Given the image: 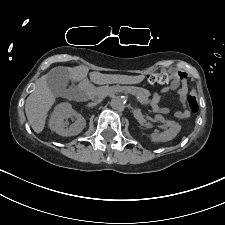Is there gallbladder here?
<instances>
[{"label":"gallbladder","instance_id":"gallbladder-1","mask_svg":"<svg viewBox=\"0 0 225 225\" xmlns=\"http://www.w3.org/2000/svg\"><path fill=\"white\" fill-rule=\"evenodd\" d=\"M68 70L66 67H55L47 74V84L51 92L57 97L78 99L80 93L76 88L68 86Z\"/></svg>","mask_w":225,"mask_h":225}]
</instances>
